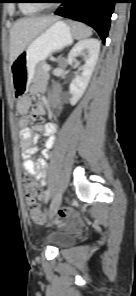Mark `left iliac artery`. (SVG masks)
Returning <instances> with one entry per match:
<instances>
[{
	"label": "left iliac artery",
	"mask_w": 136,
	"mask_h": 296,
	"mask_svg": "<svg viewBox=\"0 0 136 296\" xmlns=\"http://www.w3.org/2000/svg\"><path fill=\"white\" fill-rule=\"evenodd\" d=\"M50 193L49 192H46V196H45V201H49L50 200Z\"/></svg>",
	"instance_id": "1"
}]
</instances>
